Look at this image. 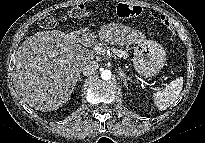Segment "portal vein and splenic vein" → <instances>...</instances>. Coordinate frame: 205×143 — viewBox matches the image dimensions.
Instances as JSON below:
<instances>
[{
    "label": "portal vein and splenic vein",
    "instance_id": "obj_1",
    "mask_svg": "<svg viewBox=\"0 0 205 143\" xmlns=\"http://www.w3.org/2000/svg\"><path fill=\"white\" fill-rule=\"evenodd\" d=\"M91 53H96V54H104L105 53V50L102 48V47H99V46H95L93 47V51H91ZM142 83H145L146 85H155V82L154 83H151V84H148L147 82L143 81L142 80ZM162 85H166V84H162ZM153 90H159L160 88L159 87H151Z\"/></svg>",
    "mask_w": 205,
    "mask_h": 143
}]
</instances>
